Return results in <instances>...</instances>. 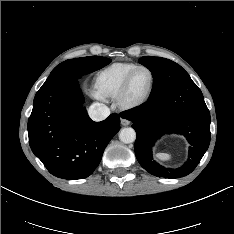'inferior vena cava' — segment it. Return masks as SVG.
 <instances>
[{
  "label": "inferior vena cava",
  "mask_w": 234,
  "mask_h": 234,
  "mask_svg": "<svg viewBox=\"0 0 234 234\" xmlns=\"http://www.w3.org/2000/svg\"><path fill=\"white\" fill-rule=\"evenodd\" d=\"M88 113L93 121L99 122L110 115V109L102 103H93L90 106Z\"/></svg>",
  "instance_id": "obj_1"
}]
</instances>
